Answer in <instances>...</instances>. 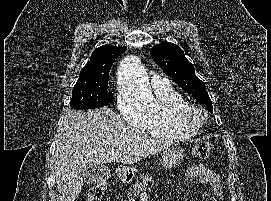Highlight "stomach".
<instances>
[{
    "instance_id": "0dacf381",
    "label": "stomach",
    "mask_w": 271,
    "mask_h": 201,
    "mask_svg": "<svg viewBox=\"0 0 271 201\" xmlns=\"http://www.w3.org/2000/svg\"><path fill=\"white\" fill-rule=\"evenodd\" d=\"M185 152L183 149L171 146L166 148L161 156V164L164 168H173L175 166H178L183 161ZM118 173L124 178V179H130L132 178L134 171L129 167L120 166L118 168Z\"/></svg>"
}]
</instances>
